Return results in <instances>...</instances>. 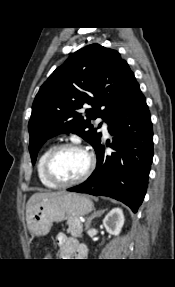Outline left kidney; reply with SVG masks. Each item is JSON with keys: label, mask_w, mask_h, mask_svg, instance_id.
<instances>
[{"label": "left kidney", "mask_w": 175, "mask_h": 287, "mask_svg": "<svg viewBox=\"0 0 175 287\" xmlns=\"http://www.w3.org/2000/svg\"><path fill=\"white\" fill-rule=\"evenodd\" d=\"M124 224L123 211L120 208L112 209L103 219L106 231L112 235H119Z\"/></svg>", "instance_id": "left-kidney-1"}]
</instances>
